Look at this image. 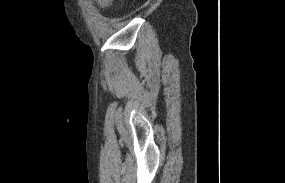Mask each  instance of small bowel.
<instances>
[{"instance_id":"obj_1","label":"small bowel","mask_w":285,"mask_h":183,"mask_svg":"<svg viewBox=\"0 0 285 183\" xmlns=\"http://www.w3.org/2000/svg\"><path fill=\"white\" fill-rule=\"evenodd\" d=\"M99 2H100V5H101L103 8H105V7H107V6L112 2V0H99Z\"/></svg>"}]
</instances>
